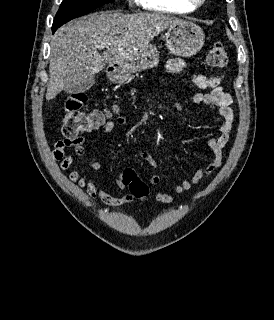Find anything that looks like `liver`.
Masks as SVG:
<instances>
[{
	"mask_svg": "<svg viewBox=\"0 0 274 320\" xmlns=\"http://www.w3.org/2000/svg\"><path fill=\"white\" fill-rule=\"evenodd\" d=\"M178 22L182 20L168 14H120L118 10L71 20L55 32L50 42L46 100H53L62 90L72 94L76 76H93L106 64L132 60L155 36ZM102 44L107 46L100 56Z\"/></svg>",
	"mask_w": 274,
	"mask_h": 320,
	"instance_id": "liver-1",
	"label": "liver"
}]
</instances>
